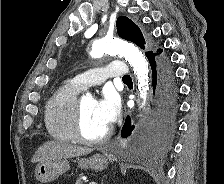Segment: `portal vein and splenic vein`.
Masks as SVG:
<instances>
[{
    "label": "portal vein and splenic vein",
    "mask_w": 224,
    "mask_h": 184,
    "mask_svg": "<svg viewBox=\"0 0 224 184\" xmlns=\"http://www.w3.org/2000/svg\"><path fill=\"white\" fill-rule=\"evenodd\" d=\"M89 184H97L96 182H90Z\"/></svg>",
    "instance_id": "1"
}]
</instances>
